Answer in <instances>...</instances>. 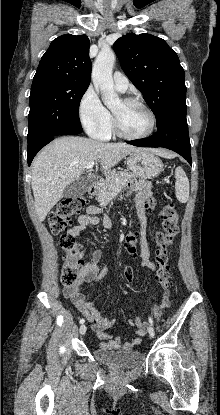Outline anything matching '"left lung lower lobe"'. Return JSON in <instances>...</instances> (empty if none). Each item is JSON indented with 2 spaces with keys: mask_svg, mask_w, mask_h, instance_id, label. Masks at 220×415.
Listing matches in <instances>:
<instances>
[{
  "mask_svg": "<svg viewBox=\"0 0 220 415\" xmlns=\"http://www.w3.org/2000/svg\"><path fill=\"white\" fill-rule=\"evenodd\" d=\"M127 143L139 147H164L173 150L192 165L186 109L170 113L157 124V132L153 136Z\"/></svg>",
  "mask_w": 220,
  "mask_h": 415,
  "instance_id": "left-lung-lower-lobe-1",
  "label": "left lung lower lobe"
}]
</instances>
